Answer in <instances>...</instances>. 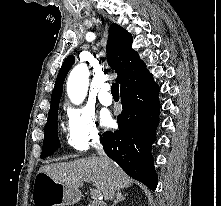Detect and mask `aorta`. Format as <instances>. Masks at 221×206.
<instances>
[{
  "label": "aorta",
  "mask_w": 221,
  "mask_h": 206,
  "mask_svg": "<svg viewBox=\"0 0 221 206\" xmlns=\"http://www.w3.org/2000/svg\"><path fill=\"white\" fill-rule=\"evenodd\" d=\"M89 86V70L87 65L79 64L70 73L67 80V94L73 104H81Z\"/></svg>",
  "instance_id": "1"
}]
</instances>
